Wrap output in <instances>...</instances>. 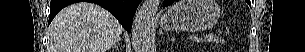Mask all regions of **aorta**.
<instances>
[{
	"label": "aorta",
	"mask_w": 305,
	"mask_h": 52,
	"mask_svg": "<svg viewBox=\"0 0 305 52\" xmlns=\"http://www.w3.org/2000/svg\"><path fill=\"white\" fill-rule=\"evenodd\" d=\"M159 4V0H144L140 6L131 31L134 52H151V25Z\"/></svg>",
	"instance_id": "762f6f07"
}]
</instances>
